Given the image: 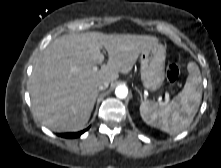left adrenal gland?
<instances>
[{"label": "left adrenal gland", "mask_w": 221, "mask_h": 168, "mask_svg": "<svg viewBox=\"0 0 221 168\" xmlns=\"http://www.w3.org/2000/svg\"><path fill=\"white\" fill-rule=\"evenodd\" d=\"M137 91H138V93H139V95H140V98H141V102H143V97H142V94H141V92L138 90V89H136Z\"/></svg>", "instance_id": "a2214340"}]
</instances>
